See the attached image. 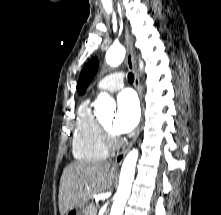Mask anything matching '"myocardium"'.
<instances>
[{"mask_svg": "<svg viewBox=\"0 0 221 215\" xmlns=\"http://www.w3.org/2000/svg\"><path fill=\"white\" fill-rule=\"evenodd\" d=\"M101 129L103 132L104 139L108 144H110L113 140V136L111 134L110 126L104 123H101Z\"/></svg>", "mask_w": 221, "mask_h": 215, "instance_id": "1", "label": "myocardium"}]
</instances>
